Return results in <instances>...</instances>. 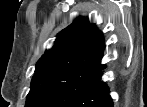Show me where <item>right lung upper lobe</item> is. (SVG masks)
Returning <instances> with one entry per match:
<instances>
[{"mask_svg":"<svg viewBox=\"0 0 147 107\" xmlns=\"http://www.w3.org/2000/svg\"><path fill=\"white\" fill-rule=\"evenodd\" d=\"M104 48L103 33L95 24L75 20L57 35L54 46L38 60L34 76L103 69Z\"/></svg>","mask_w":147,"mask_h":107,"instance_id":"right-lung-upper-lobe-1","label":"right lung upper lobe"}]
</instances>
